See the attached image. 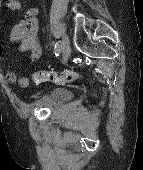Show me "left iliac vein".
I'll list each match as a JSON object with an SVG mask.
<instances>
[{
    "instance_id": "4c4485c4",
    "label": "left iliac vein",
    "mask_w": 143,
    "mask_h": 170,
    "mask_svg": "<svg viewBox=\"0 0 143 170\" xmlns=\"http://www.w3.org/2000/svg\"><path fill=\"white\" fill-rule=\"evenodd\" d=\"M71 55V47L67 36L64 37L62 43V61L66 62Z\"/></svg>"
}]
</instances>
